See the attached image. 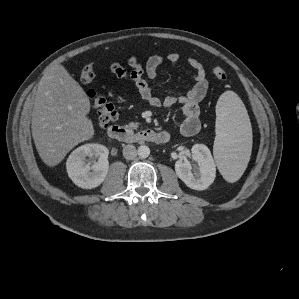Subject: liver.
<instances>
[{
	"label": "liver",
	"instance_id": "liver-1",
	"mask_svg": "<svg viewBox=\"0 0 299 299\" xmlns=\"http://www.w3.org/2000/svg\"><path fill=\"white\" fill-rule=\"evenodd\" d=\"M89 111V98L64 66L49 67L39 82L31 122L36 149L47 166L58 165L76 145L93 137Z\"/></svg>",
	"mask_w": 299,
	"mask_h": 299
}]
</instances>
